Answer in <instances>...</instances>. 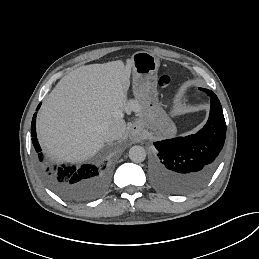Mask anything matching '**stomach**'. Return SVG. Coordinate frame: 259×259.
<instances>
[{"mask_svg":"<svg viewBox=\"0 0 259 259\" xmlns=\"http://www.w3.org/2000/svg\"><path fill=\"white\" fill-rule=\"evenodd\" d=\"M133 74L152 76L157 73L160 66L159 59L152 53L145 51L135 52L131 57Z\"/></svg>","mask_w":259,"mask_h":259,"instance_id":"1","label":"stomach"}]
</instances>
